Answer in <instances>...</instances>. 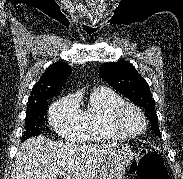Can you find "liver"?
<instances>
[{
    "mask_svg": "<svg viewBox=\"0 0 183 179\" xmlns=\"http://www.w3.org/2000/svg\"><path fill=\"white\" fill-rule=\"evenodd\" d=\"M117 144L79 145L55 142L45 136L32 137L19 147L11 179H93L108 152Z\"/></svg>",
    "mask_w": 183,
    "mask_h": 179,
    "instance_id": "obj_1",
    "label": "liver"
}]
</instances>
